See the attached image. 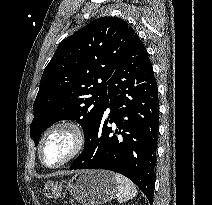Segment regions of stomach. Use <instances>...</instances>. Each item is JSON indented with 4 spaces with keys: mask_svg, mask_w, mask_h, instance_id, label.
Returning a JSON list of instances; mask_svg holds the SVG:
<instances>
[{
    "mask_svg": "<svg viewBox=\"0 0 212 205\" xmlns=\"http://www.w3.org/2000/svg\"><path fill=\"white\" fill-rule=\"evenodd\" d=\"M66 188L82 205H102L113 199L118 192L113 172L100 169L74 174Z\"/></svg>",
    "mask_w": 212,
    "mask_h": 205,
    "instance_id": "obj_1",
    "label": "stomach"
}]
</instances>
